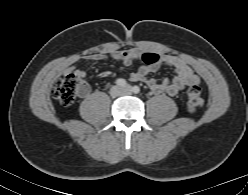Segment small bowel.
I'll list each match as a JSON object with an SVG mask.
<instances>
[{
  "mask_svg": "<svg viewBox=\"0 0 248 195\" xmlns=\"http://www.w3.org/2000/svg\"><path fill=\"white\" fill-rule=\"evenodd\" d=\"M133 58L132 51H112L109 53H97L87 56V60L92 62H101L108 59H114L122 62L124 65H129ZM162 67H171L175 70L176 75L173 79H165L157 81L154 78H149L150 72H155ZM67 73H74L78 77L84 79L86 71L82 68L71 66L66 70ZM132 81L145 82L155 94L167 93L170 96H176L181 90L187 86L197 85L200 83V77L194 70L187 65L181 58L172 55H162L159 60L147 66L140 67L137 71L130 75ZM88 93V87L83 95Z\"/></svg>",
  "mask_w": 248,
  "mask_h": 195,
  "instance_id": "c3829d8e",
  "label": "small bowel"
}]
</instances>
